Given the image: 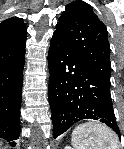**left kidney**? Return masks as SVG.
I'll use <instances>...</instances> for the list:
<instances>
[{"label":"left kidney","mask_w":124,"mask_h":149,"mask_svg":"<svg viewBox=\"0 0 124 149\" xmlns=\"http://www.w3.org/2000/svg\"><path fill=\"white\" fill-rule=\"evenodd\" d=\"M65 149H72L70 146H66Z\"/></svg>","instance_id":"left-kidney-1"}]
</instances>
